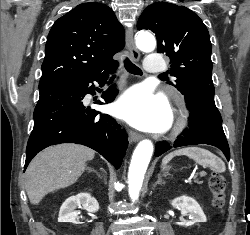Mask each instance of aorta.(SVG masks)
Instances as JSON below:
<instances>
[{
    "mask_svg": "<svg viewBox=\"0 0 250 235\" xmlns=\"http://www.w3.org/2000/svg\"><path fill=\"white\" fill-rule=\"evenodd\" d=\"M136 45L141 51L151 52L155 49L156 40L150 33L142 31L136 37ZM152 153L153 144L150 140H142L133 153L128 172L129 196L133 201L139 197Z\"/></svg>",
    "mask_w": 250,
    "mask_h": 235,
    "instance_id": "aorta-1",
    "label": "aorta"
}]
</instances>
